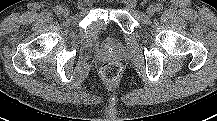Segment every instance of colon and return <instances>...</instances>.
<instances>
[{"label":"colon","instance_id":"5ec220e1","mask_svg":"<svg viewBox=\"0 0 217 121\" xmlns=\"http://www.w3.org/2000/svg\"><path fill=\"white\" fill-rule=\"evenodd\" d=\"M101 76L107 82H114L122 74V66L117 61H109L102 64L100 69Z\"/></svg>","mask_w":217,"mask_h":121}]
</instances>
